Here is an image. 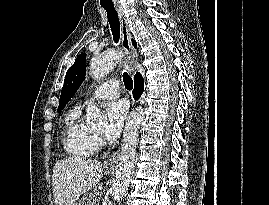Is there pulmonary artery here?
<instances>
[{"instance_id":"pulmonary-artery-1","label":"pulmonary artery","mask_w":269,"mask_h":205,"mask_svg":"<svg viewBox=\"0 0 269 205\" xmlns=\"http://www.w3.org/2000/svg\"><path fill=\"white\" fill-rule=\"evenodd\" d=\"M119 96V81L111 79L95 89L93 97L95 99H115Z\"/></svg>"}]
</instances>
